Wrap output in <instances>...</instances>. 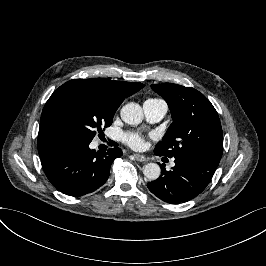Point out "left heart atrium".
<instances>
[{
	"label": "left heart atrium",
	"instance_id": "obj_1",
	"mask_svg": "<svg viewBox=\"0 0 266 266\" xmlns=\"http://www.w3.org/2000/svg\"><path fill=\"white\" fill-rule=\"evenodd\" d=\"M121 138L132 148H141L144 145L143 138L136 133H122Z\"/></svg>",
	"mask_w": 266,
	"mask_h": 266
}]
</instances>
